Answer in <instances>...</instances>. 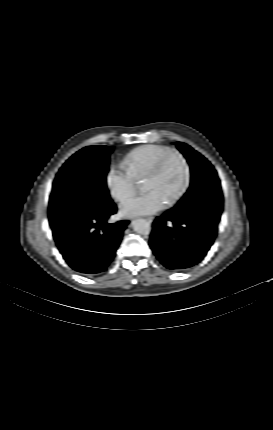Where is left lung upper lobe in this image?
Wrapping results in <instances>:
<instances>
[{
  "mask_svg": "<svg viewBox=\"0 0 273 430\" xmlns=\"http://www.w3.org/2000/svg\"><path fill=\"white\" fill-rule=\"evenodd\" d=\"M176 145L186 157L192 173L190 188L183 198H189L203 190L221 192L220 180L210 162L187 144L176 142Z\"/></svg>",
  "mask_w": 273,
  "mask_h": 430,
  "instance_id": "1",
  "label": "left lung upper lobe"
}]
</instances>
